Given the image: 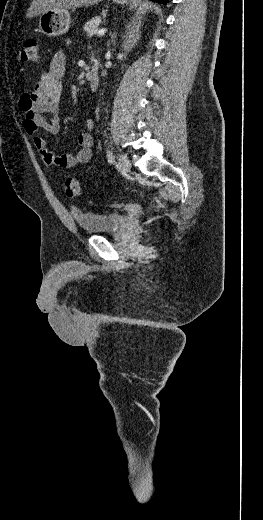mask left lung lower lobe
<instances>
[{
    "instance_id": "0a47b994",
    "label": "left lung lower lobe",
    "mask_w": 263,
    "mask_h": 520,
    "mask_svg": "<svg viewBox=\"0 0 263 520\" xmlns=\"http://www.w3.org/2000/svg\"><path fill=\"white\" fill-rule=\"evenodd\" d=\"M153 1L160 2L162 4H166L168 0H153Z\"/></svg>"
}]
</instances>
